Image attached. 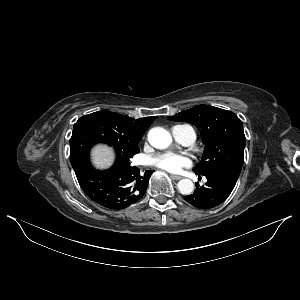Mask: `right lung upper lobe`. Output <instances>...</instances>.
Wrapping results in <instances>:
<instances>
[{
    "mask_svg": "<svg viewBox=\"0 0 300 300\" xmlns=\"http://www.w3.org/2000/svg\"><path fill=\"white\" fill-rule=\"evenodd\" d=\"M96 114L108 122L116 135L132 144L141 140L145 131L156 118V116H152L135 120L110 111H99Z\"/></svg>",
    "mask_w": 300,
    "mask_h": 300,
    "instance_id": "1",
    "label": "right lung upper lobe"
}]
</instances>
